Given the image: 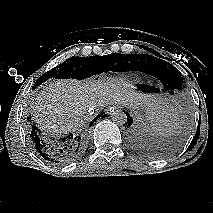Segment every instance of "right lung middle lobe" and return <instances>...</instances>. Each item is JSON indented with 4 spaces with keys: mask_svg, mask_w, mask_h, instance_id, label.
<instances>
[{
    "mask_svg": "<svg viewBox=\"0 0 213 213\" xmlns=\"http://www.w3.org/2000/svg\"><path fill=\"white\" fill-rule=\"evenodd\" d=\"M122 55L123 54L112 53L105 56H90L87 58L73 56L59 67L57 66L46 72L37 82L42 83L50 77L59 79H85L98 73L108 72L109 70L115 71L113 68L119 65L117 62L121 59ZM120 64H122V62H120Z\"/></svg>",
    "mask_w": 213,
    "mask_h": 213,
    "instance_id": "dd1d6c3e",
    "label": "right lung middle lobe"
}]
</instances>
